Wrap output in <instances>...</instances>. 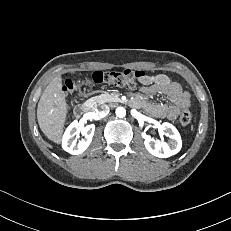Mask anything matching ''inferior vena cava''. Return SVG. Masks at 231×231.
<instances>
[{
    "label": "inferior vena cava",
    "instance_id": "1",
    "mask_svg": "<svg viewBox=\"0 0 231 231\" xmlns=\"http://www.w3.org/2000/svg\"><path fill=\"white\" fill-rule=\"evenodd\" d=\"M109 111H110V108H109V106L106 105V104L101 105V106L99 107V109H98L99 115H100L101 117L107 116L108 113H109Z\"/></svg>",
    "mask_w": 231,
    "mask_h": 231
}]
</instances>
